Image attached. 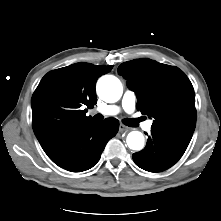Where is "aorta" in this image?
Segmentation results:
<instances>
[{
    "label": "aorta",
    "mask_w": 221,
    "mask_h": 221,
    "mask_svg": "<svg viewBox=\"0 0 221 221\" xmlns=\"http://www.w3.org/2000/svg\"><path fill=\"white\" fill-rule=\"evenodd\" d=\"M99 97L108 103L116 102L123 93L120 80L113 75H104L97 82ZM127 145L132 150H141L144 147V136L139 131H132L127 135Z\"/></svg>",
    "instance_id": "762f6f07"
}]
</instances>
